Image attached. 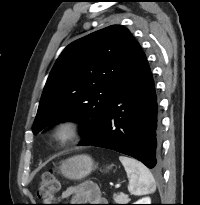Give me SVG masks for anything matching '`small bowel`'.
<instances>
[{
    "mask_svg": "<svg viewBox=\"0 0 200 205\" xmlns=\"http://www.w3.org/2000/svg\"><path fill=\"white\" fill-rule=\"evenodd\" d=\"M73 197L74 200L86 201L89 203H101L104 199L98 187L92 182H84L77 186H70L61 194L62 199ZM102 205V204H89Z\"/></svg>",
    "mask_w": 200,
    "mask_h": 205,
    "instance_id": "c3829d8e",
    "label": "small bowel"
}]
</instances>
